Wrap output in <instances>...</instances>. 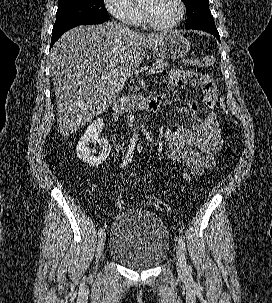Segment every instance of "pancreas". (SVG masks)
<instances>
[{
    "label": "pancreas",
    "instance_id": "cf45deb5",
    "mask_svg": "<svg viewBox=\"0 0 272 303\" xmlns=\"http://www.w3.org/2000/svg\"><path fill=\"white\" fill-rule=\"evenodd\" d=\"M168 66L167 63L164 62L163 59H157L156 62L153 64V68L156 69L158 72H162ZM137 90V88H135Z\"/></svg>",
    "mask_w": 272,
    "mask_h": 303
}]
</instances>
